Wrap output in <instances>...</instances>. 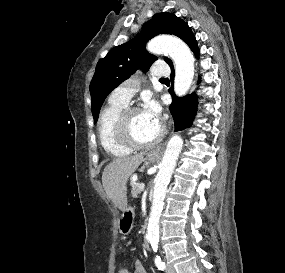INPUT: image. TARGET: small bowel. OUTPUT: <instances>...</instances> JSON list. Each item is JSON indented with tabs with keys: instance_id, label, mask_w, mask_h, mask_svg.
I'll return each instance as SVG.
<instances>
[{
	"instance_id": "obj_1",
	"label": "small bowel",
	"mask_w": 285,
	"mask_h": 273,
	"mask_svg": "<svg viewBox=\"0 0 285 273\" xmlns=\"http://www.w3.org/2000/svg\"><path fill=\"white\" fill-rule=\"evenodd\" d=\"M124 273H146V271H145L142 263L137 260L133 264L132 272H130L129 270L125 269Z\"/></svg>"
}]
</instances>
